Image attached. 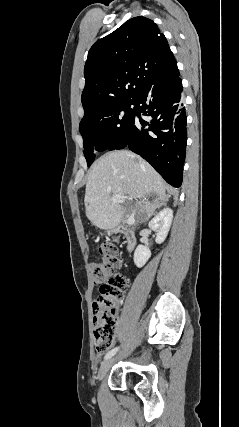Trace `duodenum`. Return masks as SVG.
Returning a JSON list of instances; mask_svg holds the SVG:
<instances>
[{"label": "duodenum", "instance_id": "duodenum-1", "mask_svg": "<svg viewBox=\"0 0 239 427\" xmlns=\"http://www.w3.org/2000/svg\"><path fill=\"white\" fill-rule=\"evenodd\" d=\"M116 232L122 234L125 239L126 249L132 251L136 243L134 230L127 226H120L116 228Z\"/></svg>", "mask_w": 239, "mask_h": 427}]
</instances>
